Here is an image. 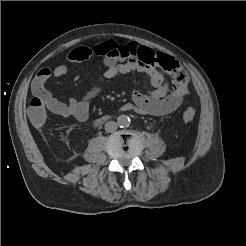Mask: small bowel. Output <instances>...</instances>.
Listing matches in <instances>:
<instances>
[{
	"instance_id": "obj_1",
	"label": "small bowel",
	"mask_w": 246,
	"mask_h": 246,
	"mask_svg": "<svg viewBox=\"0 0 246 246\" xmlns=\"http://www.w3.org/2000/svg\"><path fill=\"white\" fill-rule=\"evenodd\" d=\"M138 46L134 43L126 45L107 41L94 46H79L72 49L68 55L69 63L83 62L89 59H100L102 75L111 79L130 72H142L149 77L147 92L133 91L130 103L124 104L120 110L135 111L150 116H164L174 112L182 104L186 94H180L170 89L168 75L159 66L145 65L135 56ZM69 71L67 64H61L50 69H41L31 84L32 93L44 98L49 111L63 118L75 117L84 121L89 116L90 102L100 92V86L95 84L81 98H70L66 102L59 101L45 89L46 82L51 78H60Z\"/></svg>"
}]
</instances>
